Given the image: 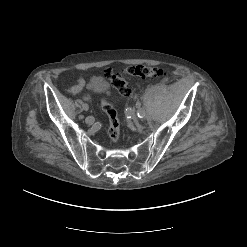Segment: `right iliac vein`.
I'll return each instance as SVG.
<instances>
[{"instance_id":"obj_1","label":"right iliac vein","mask_w":247,"mask_h":247,"mask_svg":"<svg viewBox=\"0 0 247 247\" xmlns=\"http://www.w3.org/2000/svg\"><path fill=\"white\" fill-rule=\"evenodd\" d=\"M88 110V109H87ZM85 122L88 124V125H91L94 123V118L92 116H88L86 119H85Z\"/></svg>"}]
</instances>
